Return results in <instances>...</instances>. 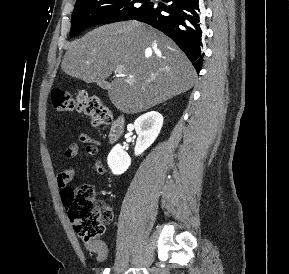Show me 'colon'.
<instances>
[{"instance_id":"1","label":"colon","mask_w":289,"mask_h":274,"mask_svg":"<svg viewBox=\"0 0 289 274\" xmlns=\"http://www.w3.org/2000/svg\"><path fill=\"white\" fill-rule=\"evenodd\" d=\"M51 101L58 111L76 110L88 115L95 126H106L112 120L111 111L96 96L83 92L74 96L65 90L53 89ZM62 200L77 235L87 242L101 237L113 219L111 207L95 198V189L90 184L63 189Z\"/></svg>"}]
</instances>
